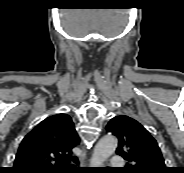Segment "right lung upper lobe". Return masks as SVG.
<instances>
[{"label":"right lung upper lobe","mask_w":184,"mask_h":173,"mask_svg":"<svg viewBox=\"0 0 184 173\" xmlns=\"http://www.w3.org/2000/svg\"><path fill=\"white\" fill-rule=\"evenodd\" d=\"M79 144L67 114L46 118L25 136L17 152L13 173H63L69 170L72 149Z\"/></svg>","instance_id":"1"}]
</instances>
